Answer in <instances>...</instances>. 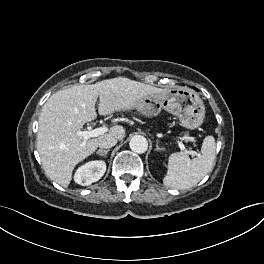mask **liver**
<instances>
[{
  "label": "liver",
  "instance_id": "1",
  "mask_svg": "<svg viewBox=\"0 0 264 264\" xmlns=\"http://www.w3.org/2000/svg\"><path fill=\"white\" fill-rule=\"evenodd\" d=\"M168 90L157 88L128 78H113L92 85H74L60 90L47 100L39 116L37 150L46 175L63 187L72 180L75 166L95 152L102 138L125 137L122 126H113L109 132L86 141L76 135L86 122L99 113L109 115L115 111L135 108L136 103L150 95H162Z\"/></svg>",
  "mask_w": 264,
  "mask_h": 264
}]
</instances>
